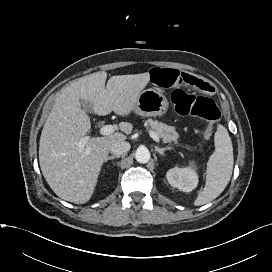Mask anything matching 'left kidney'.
<instances>
[{
    "label": "left kidney",
    "mask_w": 272,
    "mask_h": 272,
    "mask_svg": "<svg viewBox=\"0 0 272 272\" xmlns=\"http://www.w3.org/2000/svg\"><path fill=\"white\" fill-rule=\"evenodd\" d=\"M166 177L172 187L183 192L192 191L198 184V175L194 164L184 168L174 167L167 172Z\"/></svg>",
    "instance_id": "5707ae66"
}]
</instances>
